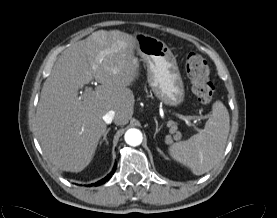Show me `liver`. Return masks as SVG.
Returning <instances> with one entry per match:
<instances>
[{
	"label": "liver",
	"instance_id": "obj_1",
	"mask_svg": "<svg viewBox=\"0 0 277 218\" xmlns=\"http://www.w3.org/2000/svg\"><path fill=\"white\" fill-rule=\"evenodd\" d=\"M137 39L119 30H99L67 48L43 84L36 112V136L48 160L63 171L80 172L92 161L106 132L103 116L115 124L133 115L128 88L139 76ZM95 79L101 85L78 97Z\"/></svg>",
	"mask_w": 277,
	"mask_h": 218
}]
</instances>
